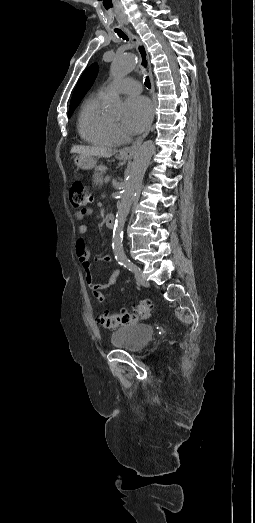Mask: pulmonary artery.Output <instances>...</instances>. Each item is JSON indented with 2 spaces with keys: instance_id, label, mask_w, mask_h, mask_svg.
Here are the masks:
<instances>
[{
  "instance_id": "e3ab8cb5",
  "label": "pulmonary artery",
  "mask_w": 255,
  "mask_h": 523,
  "mask_svg": "<svg viewBox=\"0 0 255 523\" xmlns=\"http://www.w3.org/2000/svg\"><path fill=\"white\" fill-rule=\"evenodd\" d=\"M140 90V83L136 80L130 79V77L128 76L123 77L122 81H120L119 83L109 84L101 89V91L107 95L113 91L129 92L132 93L131 97L133 99H136L138 97L137 93L140 92Z\"/></svg>"
}]
</instances>
